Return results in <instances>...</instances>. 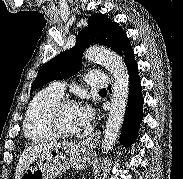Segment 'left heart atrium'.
I'll return each instance as SVG.
<instances>
[{"label":"left heart atrium","instance_id":"39dd6f15","mask_svg":"<svg viewBox=\"0 0 183 179\" xmlns=\"http://www.w3.org/2000/svg\"><path fill=\"white\" fill-rule=\"evenodd\" d=\"M80 127L86 126L93 117V111L88 105L77 106Z\"/></svg>","mask_w":183,"mask_h":179}]
</instances>
